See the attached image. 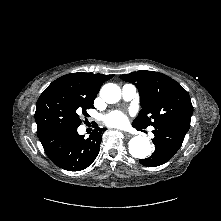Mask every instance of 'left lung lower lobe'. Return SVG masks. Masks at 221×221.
<instances>
[{
	"label": "left lung lower lobe",
	"instance_id": "left-lung-lower-lobe-1",
	"mask_svg": "<svg viewBox=\"0 0 221 221\" xmlns=\"http://www.w3.org/2000/svg\"><path fill=\"white\" fill-rule=\"evenodd\" d=\"M152 132L155 136L152 139L155 150L150 157L139 160L142 165L148 167L160 166L169 161L181 147L187 133L185 130L170 126L155 127Z\"/></svg>",
	"mask_w": 221,
	"mask_h": 221
}]
</instances>
